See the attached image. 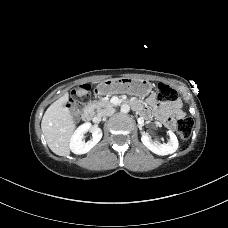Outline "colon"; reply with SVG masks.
Here are the masks:
<instances>
[{
	"mask_svg": "<svg viewBox=\"0 0 228 228\" xmlns=\"http://www.w3.org/2000/svg\"><path fill=\"white\" fill-rule=\"evenodd\" d=\"M178 92L165 83H159L157 86V99L160 102H173L177 100ZM89 86L80 85L73 90L69 107L73 110H79L89 102ZM193 129V121L190 118H182L177 122V131L182 140L190 137Z\"/></svg>",
	"mask_w": 228,
	"mask_h": 228,
	"instance_id": "5ec220e1",
	"label": "colon"
}]
</instances>
